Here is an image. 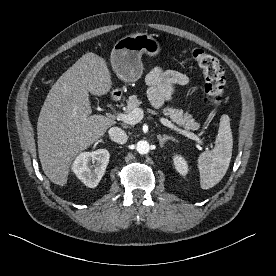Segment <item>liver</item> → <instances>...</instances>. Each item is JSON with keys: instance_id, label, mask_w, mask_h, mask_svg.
Returning a JSON list of instances; mask_svg holds the SVG:
<instances>
[{"instance_id": "1", "label": "liver", "mask_w": 276, "mask_h": 276, "mask_svg": "<svg viewBox=\"0 0 276 276\" xmlns=\"http://www.w3.org/2000/svg\"><path fill=\"white\" fill-rule=\"evenodd\" d=\"M112 88L106 61L88 52L50 89L38 122V152L45 175L54 183H67L74 158L102 137L115 121L91 115L89 93L102 96Z\"/></svg>"}]
</instances>
